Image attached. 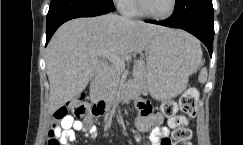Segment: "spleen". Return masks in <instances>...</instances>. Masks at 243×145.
<instances>
[{
  "label": "spleen",
  "instance_id": "3e777b00",
  "mask_svg": "<svg viewBox=\"0 0 243 145\" xmlns=\"http://www.w3.org/2000/svg\"><path fill=\"white\" fill-rule=\"evenodd\" d=\"M201 59H202V51H199V54H198V65L201 63ZM207 75H208L207 68L203 67L200 70V73H199V76H198V81L200 83L204 84L207 81Z\"/></svg>",
  "mask_w": 243,
  "mask_h": 145
}]
</instances>
